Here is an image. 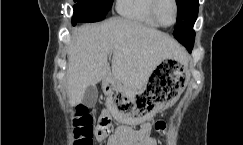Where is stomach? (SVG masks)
<instances>
[{
  "mask_svg": "<svg viewBox=\"0 0 243 145\" xmlns=\"http://www.w3.org/2000/svg\"><path fill=\"white\" fill-rule=\"evenodd\" d=\"M189 77L186 64L176 59H165L138 92H130L108 78L103 80V89L108 95L111 115L121 123L138 124L174 102Z\"/></svg>",
  "mask_w": 243,
  "mask_h": 145,
  "instance_id": "1",
  "label": "stomach"
}]
</instances>
